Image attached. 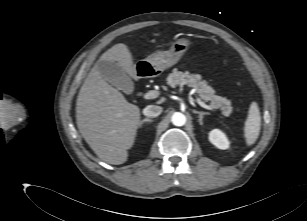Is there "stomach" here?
<instances>
[{
    "instance_id": "1",
    "label": "stomach",
    "mask_w": 307,
    "mask_h": 221,
    "mask_svg": "<svg viewBox=\"0 0 307 221\" xmlns=\"http://www.w3.org/2000/svg\"><path fill=\"white\" fill-rule=\"evenodd\" d=\"M191 40L181 38L173 42L168 50L158 51L140 60L136 68L140 69L143 76H154L159 72L175 65L187 52Z\"/></svg>"
}]
</instances>
